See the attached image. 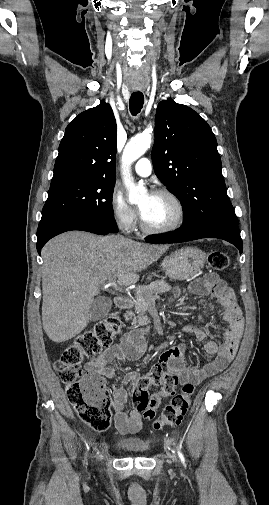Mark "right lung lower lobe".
<instances>
[{
  "label": "right lung lower lobe",
  "mask_w": 269,
  "mask_h": 505,
  "mask_svg": "<svg viewBox=\"0 0 269 505\" xmlns=\"http://www.w3.org/2000/svg\"><path fill=\"white\" fill-rule=\"evenodd\" d=\"M71 230H82L95 234L106 235L113 233L98 224L87 220L67 215H55L40 221L37 230V251L41 255V249L52 237Z\"/></svg>",
  "instance_id": "98d812e1"
}]
</instances>
